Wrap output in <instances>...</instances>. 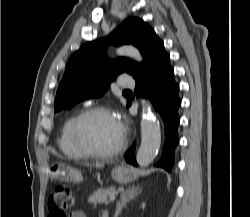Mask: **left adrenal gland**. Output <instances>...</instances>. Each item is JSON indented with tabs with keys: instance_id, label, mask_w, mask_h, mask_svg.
Listing matches in <instances>:
<instances>
[{
	"instance_id": "a2214340",
	"label": "left adrenal gland",
	"mask_w": 250,
	"mask_h": 217,
	"mask_svg": "<svg viewBox=\"0 0 250 217\" xmlns=\"http://www.w3.org/2000/svg\"><path fill=\"white\" fill-rule=\"evenodd\" d=\"M140 192H141V189H139V187L136 188L134 186L122 192L120 196V201H118L116 205L114 217H118L122 209L126 207L127 202L137 197Z\"/></svg>"
}]
</instances>
